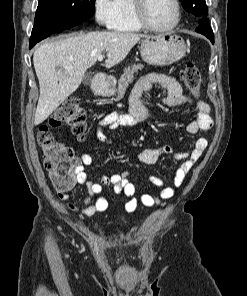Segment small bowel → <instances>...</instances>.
Instances as JSON below:
<instances>
[{
  "label": "small bowel",
  "instance_id": "obj_1",
  "mask_svg": "<svg viewBox=\"0 0 247 296\" xmlns=\"http://www.w3.org/2000/svg\"><path fill=\"white\" fill-rule=\"evenodd\" d=\"M161 86L165 90V95L162 98V103L170 108L180 107L185 104H194L197 113L193 120L187 123L186 130L190 134H197L201 131H207L213 126V119L210 115V106L203 101L194 102L189 96L183 93L179 82L173 77L166 75H158L149 73L137 82L132 90L130 97V112L124 113H110L106 115L100 122L97 129V137L104 143H109L107 136L104 134L103 128L111 129L119 127H134L140 123L148 120L151 115L145 109L141 102L143 94L149 92L154 86ZM208 146V140L204 137H199L195 141L193 149L189 153L176 155L177 159L182 160L174 174V187L182 185L187 173L190 171L194 163L201 157L202 153ZM172 152V147L169 145L158 148L143 149L137 154L139 162L152 165L161 155ZM93 163L91 155L84 153L80 157V165L77 172V181L80 184L87 186V197L82 208H77L66 192H60L59 198L66 203L69 209L78 212L83 216H93L96 213H104L108 209V201L101 196L103 188L112 186L114 192L125 200V210L132 213L137 209L138 199L136 197V187L129 179L128 172L113 174L110 176H103L99 182L92 181L85 171L86 166ZM148 181L157 187L161 188L159 195L141 194L139 201L147 207H152L160 204L163 200L171 198L175 193V188L167 187L164 181L158 177L150 176Z\"/></svg>",
  "mask_w": 247,
  "mask_h": 296
}]
</instances>
